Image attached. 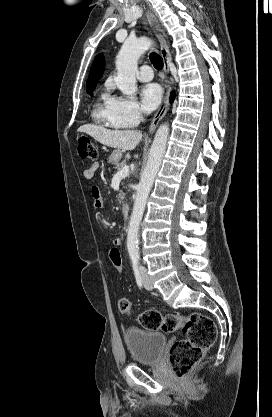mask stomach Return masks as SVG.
<instances>
[{
    "mask_svg": "<svg viewBox=\"0 0 272 417\" xmlns=\"http://www.w3.org/2000/svg\"><path fill=\"white\" fill-rule=\"evenodd\" d=\"M122 158V151L120 149L114 150L111 155L109 156V162L111 164H118L120 159Z\"/></svg>",
    "mask_w": 272,
    "mask_h": 417,
    "instance_id": "0dacf381",
    "label": "stomach"
}]
</instances>
